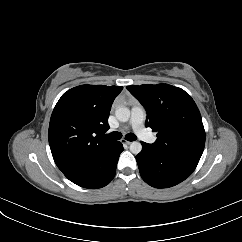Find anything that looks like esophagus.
<instances>
[{
    "mask_svg": "<svg viewBox=\"0 0 242 242\" xmlns=\"http://www.w3.org/2000/svg\"><path fill=\"white\" fill-rule=\"evenodd\" d=\"M122 143L123 144H126V145H130L132 142L131 141H128L126 139H122Z\"/></svg>",
    "mask_w": 242,
    "mask_h": 242,
    "instance_id": "esophagus-1",
    "label": "esophagus"
}]
</instances>
